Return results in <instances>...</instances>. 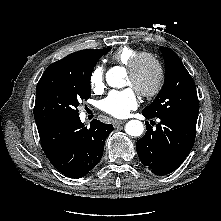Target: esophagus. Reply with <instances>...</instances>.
Listing matches in <instances>:
<instances>
[{"mask_svg":"<svg viewBox=\"0 0 221 221\" xmlns=\"http://www.w3.org/2000/svg\"><path fill=\"white\" fill-rule=\"evenodd\" d=\"M126 121H124V120H115L114 122H113V125H114V127H117V126H119V125H122V124H124Z\"/></svg>","mask_w":221,"mask_h":221,"instance_id":"34e87169","label":"esophagus"}]
</instances>
